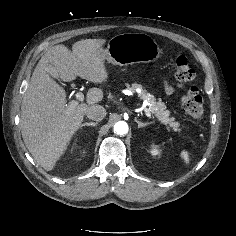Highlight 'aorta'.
Segmentation results:
<instances>
[{
	"label": "aorta",
	"instance_id": "aorta-1",
	"mask_svg": "<svg viewBox=\"0 0 236 236\" xmlns=\"http://www.w3.org/2000/svg\"><path fill=\"white\" fill-rule=\"evenodd\" d=\"M114 132L118 135H125L128 132V125L124 121H119L114 125Z\"/></svg>",
	"mask_w": 236,
	"mask_h": 236
}]
</instances>
